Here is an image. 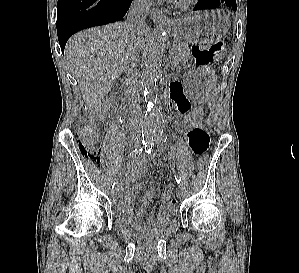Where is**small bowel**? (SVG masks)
<instances>
[{"instance_id": "obj_1", "label": "small bowel", "mask_w": 299, "mask_h": 273, "mask_svg": "<svg viewBox=\"0 0 299 273\" xmlns=\"http://www.w3.org/2000/svg\"><path fill=\"white\" fill-rule=\"evenodd\" d=\"M169 100L172 107L176 108L180 115H187L190 112V102L178 84L171 85ZM186 137L187 143L195 155L200 156L205 153L209 146V136L203 126L190 130ZM149 164L150 160L146 156L132 158V161L125 167L123 179L118 185L117 203L121 211L142 219L147 213L151 214L149 205L159 198L161 204L158 211V218H167L172 216L176 211V205H172L170 202L173 194L172 183H168L161 192L154 188L150 189L143 195L138 207L133 209V202L135 195L139 191V186L129 185V183L142 176Z\"/></svg>"}]
</instances>
